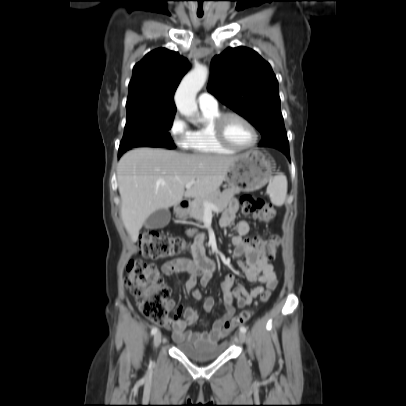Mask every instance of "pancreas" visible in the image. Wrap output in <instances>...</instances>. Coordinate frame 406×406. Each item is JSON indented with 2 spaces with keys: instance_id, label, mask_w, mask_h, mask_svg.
<instances>
[{
  "instance_id": "obj_1",
  "label": "pancreas",
  "mask_w": 406,
  "mask_h": 406,
  "mask_svg": "<svg viewBox=\"0 0 406 406\" xmlns=\"http://www.w3.org/2000/svg\"><path fill=\"white\" fill-rule=\"evenodd\" d=\"M237 190L234 189H226L223 192H219L218 190L208 196L205 197H197L195 200L192 202L189 215L190 217L201 221L203 219V215L205 212V208L203 203L204 202H209L212 203L213 205L216 206L217 211L216 212H222L227 208L229 203L234 197V194L237 193ZM194 230L188 231L187 234L189 236L194 234Z\"/></svg>"
}]
</instances>
